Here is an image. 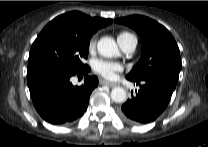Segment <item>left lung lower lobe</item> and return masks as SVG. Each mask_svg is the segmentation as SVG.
<instances>
[{
  "label": "left lung lower lobe",
  "instance_id": "1",
  "mask_svg": "<svg viewBox=\"0 0 208 147\" xmlns=\"http://www.w3.org/2000/svg\"><path fill=\"white\" fill-rule=\"evenodd\" d=\"M132 82L139 85L140 89L122 105L119 115L133 124L154 121L167 107L177 84L162 76H151Z\"/></svg>",
  "mask_w": 208,
  "mask_h": 147
}]
</instances>
